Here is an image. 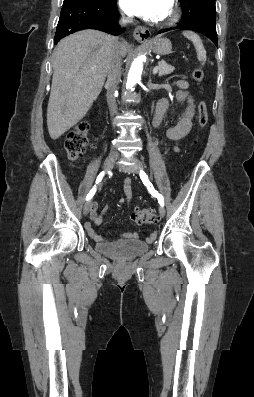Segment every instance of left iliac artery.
Returning <instances> with one entry per match:
<instances>
[{
  "instance_id": "left-iliac-artery-1",
  "label": "left iliac artery",
  "mask_w": 254,
  "mask_h": 397,
  "mask_svg": "<svg viewBox=\"0 0 254 397\" xmlns=\"http://www.w3.org/2000/svg\"><path fill=\"white\" fill-rule=\"evenodd\" d=\"M140 178L142 182L147 186L150 194L158 199V202L161 206H164V199L162 195H160L153 187V185L149 182L148 176L144 171H140Z\"/></svg>"
}]
</instances>
